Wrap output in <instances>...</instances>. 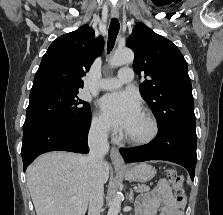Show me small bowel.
<instances>
[{
  "label": "small bowel",
  "instance_id": "obj_1",
  "mask_svg": "<svg viewBox=\"0 0 223 215\" xmlns=\"http://www.w3.org/2000/svg\"><path fill=\"white\" fill-rule=\"evenodd\" d=\"M184 215L183 203H179L171 192L166 181L159 182L157 187L147 195L139 198L137 215Z\"/></svg>",
  "mask_w": 223,
  "mask_h": 215
}]
</instances>
